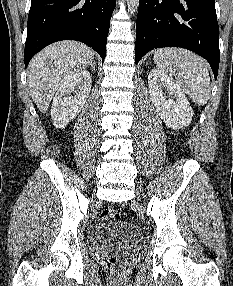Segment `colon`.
<instances>
[{
  "instance_id": "obj_1",
  "label": "colon",
  "mask_w": 233,
  "mask_h": 286,
  "mask_svg": "<svg viewBox=\"0 0 233 286\" xmlns=\"http://www.w3.org/2000/svg\"><path fill=\"white\" fill-rule=\"evenodd\" d=\"M101 221H117L120 219V214L114 209H105L99 214ZM109 262L113 266H118L120 263V257L117 254H112L109 257Z\"/></svg>"
}]
</instances>
